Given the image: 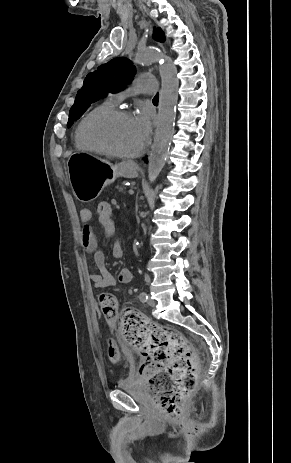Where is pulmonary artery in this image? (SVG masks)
Returning <instances> with one entry per match:
<instances>
[{
  "label": "pulmonary artery",
  "instance_id": "pulmonary-artery-1",
  "mask_svg": "<svg viewBox=\"0 0 291 463\" xmlns=\"http://www.w3.org/2000/svg\"><path fill=\"white\" fill-rule=\"evenodd\" d=\"M157 92V81L156 79L147 74H142L138 76L132 86L125 91L116 93L111 97L112 102L118 103L121 102L129 95L133 94H148L154 95Z\"/></svg>",
  "mask_w": 291,
  "mask_h": 463
}]
</instances>
